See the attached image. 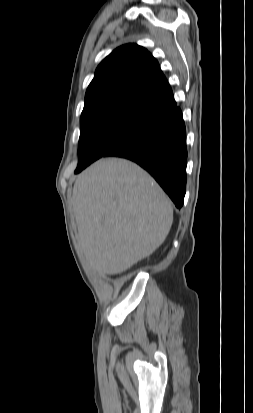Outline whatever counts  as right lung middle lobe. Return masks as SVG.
I'll return each instance as SVG.
<instances>
[{
	"mask_svg": "<svg viewBox=\"0 0 253 413\" xmlns=\"http://www.w3.org/2000/svg\"><path fill=\"white\" fill-rule=\"evenodd\" d=\"M156 119L153 115L126 108H111L81 117L75 173L144 131Z\"/></svg>",
	"mask_w": 253,
	"mask_h": 413,
	"instance_id": "obj_1",
	"label": "right lung middle lobe"
}]
</instances>
